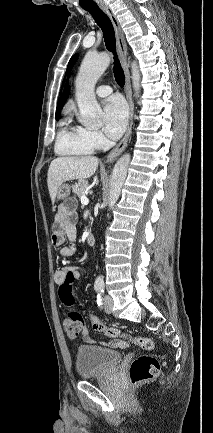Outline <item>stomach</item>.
I'll use <instances>...</instances> for the list:
<instances>
[{
  "label": "stomach",
  "mask_w": 213,
  "mask_h": 433,
  "mask_svg": "<svg viewBox=\"0 0 213 433\" xmlns=\"http://www.w3.org/2000/svg\"><path fill=\"white\" fill-rule=\"evenodd\" d=\"M70 195V186L68 184H61L57 191V199L64 200Z\"/></svg>",
  "instance_id": "stomach-1"
}]
</instances>
